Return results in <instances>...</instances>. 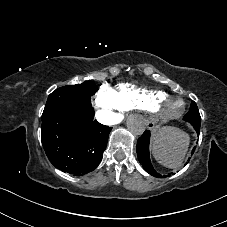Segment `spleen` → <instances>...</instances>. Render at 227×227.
Instances as JSON below:
<instances>
[{
    "instance_id": "spleen-1",
    "label": "spleen",
    "mask_w": 227,
    "mask_h": 227,
    "mask_svg": "<svg viewBox=\"0 0 227 227\" xmlns=\"http://www.w3.org/2000/svg\"><path fill=\"white\" fill-rule=\"evenodd\" d=\"M188 147V135L175 127H165L153 137V155L167 167H178Z\"/></svg>"
}]
</instances>
